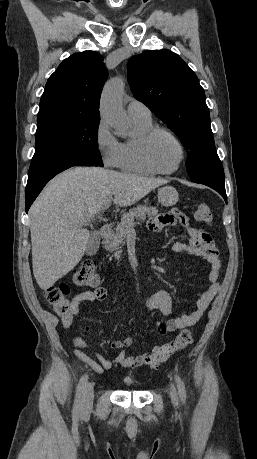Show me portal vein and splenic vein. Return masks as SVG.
I'll use <instances>...</instances> for the list:
<instances>
[{
    "label": "portal vein and splenic vein",
    "instance_id": "1",
    "mask_svg": "<svg viewBox=\"0 0 257 459\" xmlns=\"http://www.w3.org/2000/svg\"><path fill=\"white\" fill-rule=\"evenodd\" d=\"M110 204H111V198H108V199L105 201L104 206H103V208H102L101 210H102V211L106 210L107 208H109Z\"/></svg>",
    "mask_w": 257,
    "mask_h": 459
}]
</instances>
